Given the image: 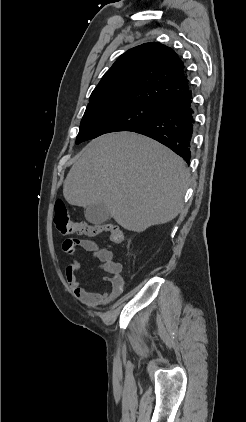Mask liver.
<instances>
[{
    "label": "liver",
    "instance_id": "6515ba94",
    "mask_svg": "<svg viewBox=\"0 0 246 422\" xmlns=\"http://www.w3.org/2000/svg\"><path fill=\"white\" fill-rule=\"evenodd\" d=\"M190 171L169 148L132 132L102 135L78 155L63 184L74 206L104 204L124 229L143 232L183 208Z\"/></svg>",
    "mask_w": 246,
    "mask_h": 422
}]
</instances>
